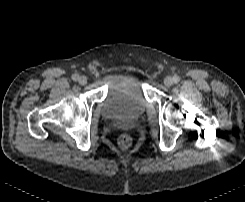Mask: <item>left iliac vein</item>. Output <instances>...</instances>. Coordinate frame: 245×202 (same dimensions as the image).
<instances>
[{
    "label": "left iliac vein",
    "mask_w": 245,
    "mask_h": 202,
    "mask_svg": "<svg viewBox=\"0 0 245 202\" xmlns=\"http://www.w3.org/2000/svg\"><path fill=\"white\" fill-rule=\"evenodd\" d=\"M164 84L166 85V86H171L172 84H173V79L171 78V77H166L165 79H164Z\"/></svg>",
    "instance_id": "obj_1"
}]
</instances>
